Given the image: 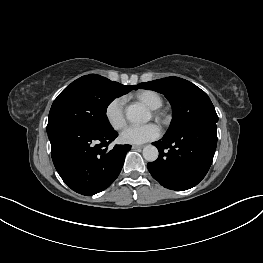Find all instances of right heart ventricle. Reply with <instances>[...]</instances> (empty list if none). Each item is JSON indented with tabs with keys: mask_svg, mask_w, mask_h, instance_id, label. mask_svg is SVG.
I'll return each mask as SVG.
<instances>
[{
	"mask_svg": "<svg viewBox=\"0 0 263 263\" xmlns=\"http://www.w3.org/2000/svg\"><path fill=\"white\" fill-rule=\"evenodd\" d=\"M135 96L152 110L160 108L163 104L162 97L153 90H140Z\"/></svg>",
	"mask_w": 263,
	"mask_h": 263,
	"instance_id": "1",
	"label": "right heart ventricle"
}]
</instances>
